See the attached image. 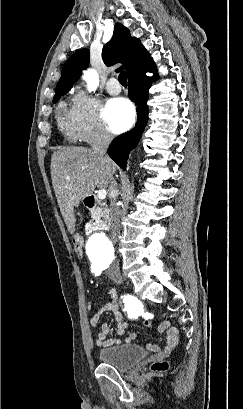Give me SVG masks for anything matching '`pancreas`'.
Segmentation results:
<instances>
[{"label":"pancreas","instance_id":"1","mask_svg":"<svg viewBox=\"0 0 243 409\" xmlns=\"http://www.w3.org/2000/svg\"><path fill=\"white\" fill-rule=\"evenodd\" d=\"M93 220L98 222H105L107 218V210L102 207H98L91 212ZM103 218V220H101Z\"/></svg>","mask_w":243,"mask_h":409}]
</instances>
